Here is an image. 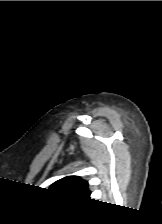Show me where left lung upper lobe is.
<instances>
[{
  "mask_svg": "<svg viewBox=\"0 0 162 224\" xmlns=\"http://www.w3.org/2000/svg\"><path fill=\"white\" fill-rule=\"evenodd\" d=\"M50 190L78 198H89L88 182L77 176H68L56 181Z\"/></svg>",
  "mask_w": 162,
  "mask_h": 224,
  "instance_id": "5c2ea615",
  "label": "left lung upper lobe"
}]
</instances>
